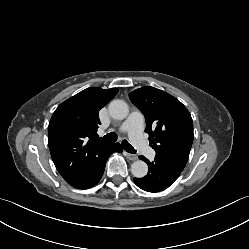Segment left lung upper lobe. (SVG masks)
<instances>
[{"mask_svg": "<svg viewBox=\"0 0 249 249\" xmlns=\"http://www.w3.org/2000/svg\"><path fill=\"white\" fill-rule=\"evenodd\" d=\"M129 98L145 116L155 160L182 171L193 142L189 111L178 99L154 87L134 90Z\"/></svg>", "mask_w": 249, "mask_h": 249, "instance_id": "5c2ea615", "label": "left lung upper lobe"}]
</instances>
